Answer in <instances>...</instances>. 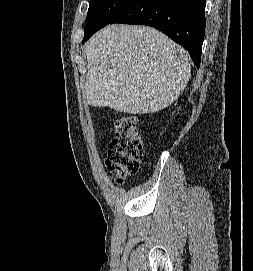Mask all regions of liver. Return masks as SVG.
Wrapping results in <instances>:
<instances>
[{
  "label": "liver",
  "instance_id": "obj_1",
  "mask_svg": "<svg viewBox=\"0 0 253 271\" xmlns=\"http://www.w3.org/2000/svg\"><path fill=\"white\" fill-rule=\"evenodd\" d=\"M85 53V100L94 107L155 113L171 105L190 78L187 51L151 27L108 25Z\"/></svg>",
  "mask_w": 253,
  "mask_h": 271
}]
</instances>
